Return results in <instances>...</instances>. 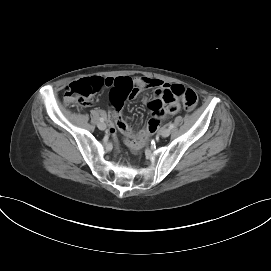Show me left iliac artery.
Returning <instances> with one entry per match:
<instances>
[{"instance_id": "1", "label": "left iliac artery", "mask_w": 271, "mask_h": 271, "mask_svg": "<svg viewBox=\"0 0 271 271\" xmlns=\"http://www.w3.org/2000/svg\"><path fill=\"white\" fill-rule=\"evenodd\" d=\"M173 128H174V124H173V123H170L169 129H173Z\"/></svg>"}]
</instances>
